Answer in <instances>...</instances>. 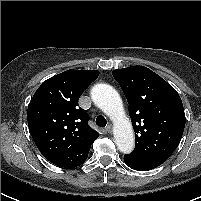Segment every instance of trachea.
<instances>
[{
	"instance_id": "trachea-1",
	"label": "trachea",
	"mask_w": 201,
	"mask_h": 201,
	"mask_svg": "<svg viewBox=\"0 0 201 201\" xmlns=\"http://www.w3.org/2000/svg\"><path fill=\"white\" fill-rule=\"evenodd\" d=\"M96 124L99 126V127H105L106 124H107V121L105 119L104 116L100 115L96 118Z\"/></svg>"
}]
</instances>
